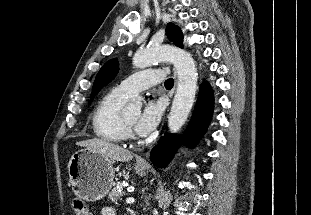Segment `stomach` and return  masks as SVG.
<instances>
[{
	"instance_id": "stomach-1",
	"label": "stomach",
	"mask_w": 311,
	"mask_h": 215,
	"mask_svg": "<svg viewBox=\"0 0 311 215\" xmlns=\"http://www.w3.org/2000/svg\"><path fill=\"white\" fill-rule=\"evenodd\" d=\"M135 171L138 175H146L144 167L136 166ZM68 173L74 193L86 201L104 198L114 184L112 161L87 149L71 156Z\"/></svg>"
}]
</instances>
